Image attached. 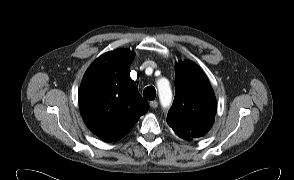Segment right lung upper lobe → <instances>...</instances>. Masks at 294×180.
<instances>
[{
    "label": "right lung upper lobe",
    "mask_w": 294,
    "mask_h": 180,
    "mask_svg": "<svg viewBox=\"0 0 294 180\" xmlns=\"http://www.w3.org/2000/svg\"><path fill=\"white\" fill-rule=\"evenodd\" d=\"M134 54L126 49L107 52L87 69L79 90V108L86 126L106 142H115L149 109L129 69Z\"/></svg>",
    "instance_id": "obj_1"
}]
</instances>
